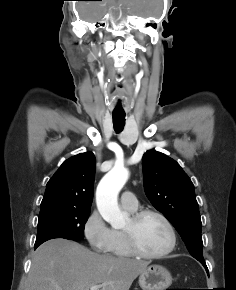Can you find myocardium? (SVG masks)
<instances>
[{
    "instance_id": "1",
    "label": "myocardium",
    "mask_w": 236,
    "mask_h": 290,
    "mask_svg": "<svg viewBox=\"0 0 236 290\" xmlns=\"http://www.w3.org/2000/svg\"><path fill=\"white\" fill-rule=\"evenodd\" d=\"M149 215L158 217L165 224L170 235V243L168 247L165 250L159 253H154V254L146 253L140 248L137 242V237H136V232H135L136 227L140 223V221ZM131 220L133 224L132 227L128 230H124L123 233H124L128 248L133 256H136L142 259L155 260V259L164 258L173 252L177 244V234H176V230L173 224L171 223V221L168 219V217L165 214L155 209H142V210L134 212L131 216Z\"/></svg>"
}]
</instances>
